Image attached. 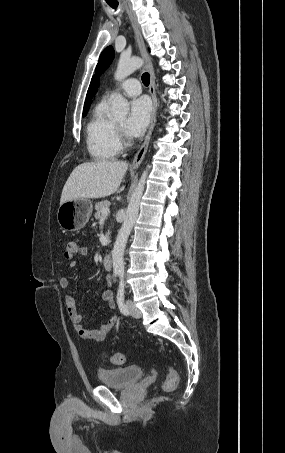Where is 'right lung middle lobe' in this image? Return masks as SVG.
Instances as JSON below:
<instances>
[{
  "label": "right lung middle lobe",
  "mask_w": 285,
  "mask_h": 453,
  "mask_svg": "<svg viewBox=\"0 0 285 453\" xmlns=\"http://www.w3.org/2000/svg\"><path fill=\"white\" fill-rule=\"evenodd\" d=\"M86 114H87V111H86V112H83V117L86 116Z\"/></svg>",
  "instance_id": "obj_1"
}]
</instances>
